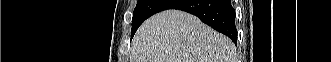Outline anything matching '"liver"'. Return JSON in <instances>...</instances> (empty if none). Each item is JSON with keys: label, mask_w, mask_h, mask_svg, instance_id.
<instances>
[{"label": "liver", "mask_w": 331, "mask_h": 62, "mask_svg": "<svg viewBox=\"0 0 331 62\" xmlns=\"http://www.w3.org/2000/svg\"><path fill=\"white\" fill-rule=\"evenodd\" d=\"M130 62H235L236 48L196 16L167 10L147 19L136 32Z\"/></svg>", "instance_id": "6515ba94"}]
</instances>
